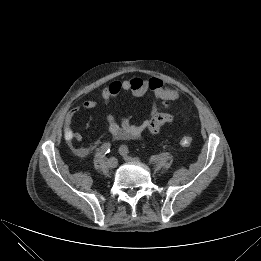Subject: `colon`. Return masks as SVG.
Segmentation results:
<instances>
[{
  "mask_svg": "<svg viewBox=\"0 0 261 261\" xmlns=\"http://www.w3.org/2000/svg\"><path fill=\"white\" fill-rule=\"evenodd\" d=\"M180 144L184 147H188L192 144V137L188 134H185L180 139Z\"/></svg>",
  "mask_w": 261,
  "mask_h": 261,
  "instance_id": "obj_1",
  "label": "colon"
}]
</instances>
